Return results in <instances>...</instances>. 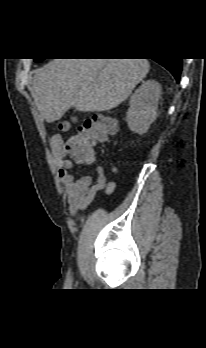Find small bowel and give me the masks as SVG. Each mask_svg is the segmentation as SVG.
Wrapping results in <instances>:
<instances>
[{
    "label": "small bowel",
    "instance_id": "small-bowel-1",
    "mask_svg": "<svg viewBox=\"0 0 206 348\" xmlns=\"http://www.w3.org/2000/svg\"><path fill=\"white\" fill-rule=\"evenodd\" d=\"M60 143L61 138L55 136L52 140L54 159L58 168V175L64 185L69 205V212L71 216L75 217L87 209L98 192L104 191L105 193H111L114 190L116 183L108 181L106 169L103 165L99 164L93 151H91V158L89 160L75 162L78 164L93 166L96 170V178L93 179L89 175L75 178L70 173L73 162L67 159L65 154L61 152L59 148ZM110 170L113 173H117V168L115 166L111 165Z\"/></svg>",
    "mask_w": 206,
    "mask_h": 348
}]
</instances>
